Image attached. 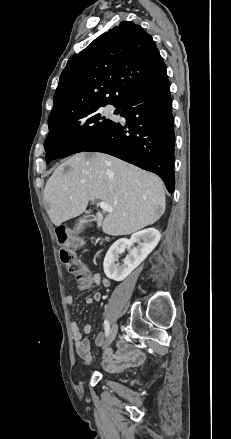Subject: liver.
Returning <instances> with one entry per match:
<instances>
[{
    "mask_svg": "<svg viewBox=\"0 0 231 439\" xmlns=\"http://www.w3.org/2000/svg\"><path fill=\"white\" fill-rule=\"evenodd\" d=\"M113 208L97 212V227L112 236L129 235L153 224L165 211L162 180L104 153H77L59 165L44 189L51 222L59 226L81 215L89 201Z\"/></svg>",
    "mask_w": 231,
    "mask_h": 439,
    "instance_id": "1",
    "label": "liver"
}]
</instances>
